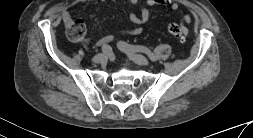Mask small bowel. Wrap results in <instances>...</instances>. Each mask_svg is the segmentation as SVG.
<instances>
[{
	"mask_svg": "<svg viewBox=\"0 0 253 138\" xmlns=\"http://www.w3.org/2000/svg\"><path fill=\"white\" fill-rule=\"evenodd\" d=\"M80 2H89L94 0H79ZM101 2H105L107 0H99ZM115 1V0H110ZM132 4L139 6V15L131 12L129 14V20L135 25L134 27L130 28H121L119 29V33L126 36H136L140 35L144 32L143 24H145L150 18V12L145 5L141 4V0H129ZM145 4L150 7H159V6H167L170 7L175 12H180L181 6L178 2L172 0H144ZM72 5L69 6V8ZM72 18V15L69 10H66L63 13V19L67 22L69 19ZM191 21V17L183 16L182 22L189 23ZM114 39L113 35H106L100 38L97 41L98 46L108 45Z\"/></svg>",
	"mask_w": 253,
	"mask_h": 138,
	"instance_id": "obj_1",
	"label": "small bowel"
}]
</instances>
